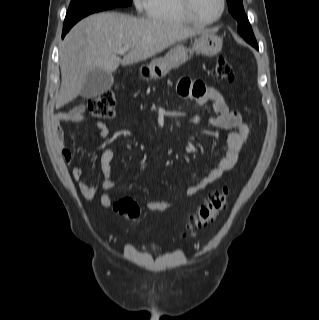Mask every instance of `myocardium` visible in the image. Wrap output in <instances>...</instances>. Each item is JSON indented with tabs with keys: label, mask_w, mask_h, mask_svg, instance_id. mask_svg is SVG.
Here are the masks:
<instances>
[{
	"label": "myocardium",
	"mask_w": 319,
	"mask_h": 320,
	"mask_svg": "<svg viewBox=\"0 0 319 320\" xmlns=\"http://www.w3.org/2000/svg\"><path fill=\"white\" fill-rule=\"evenodd\" d=\"M181 9L183 13L186 15V17L194 24L207 26V25H213L218 23L224 16L226 11V0H220L221 6L219 14L216 18L211 20H203L196 16L194 9H193V0H179Z\"/></svg>",
	"instance_id": "1"
}]
</instances>
